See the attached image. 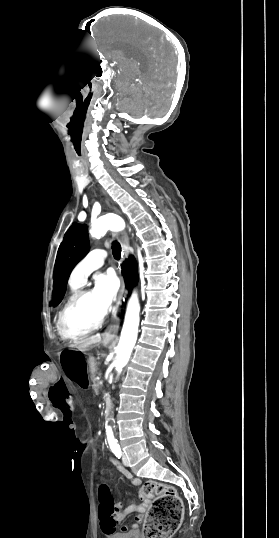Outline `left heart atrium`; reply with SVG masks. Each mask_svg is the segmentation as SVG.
<instances>
[{
    "label": "left heart atrium",
    "mask_w": 279,
    "mask_h": 538,
    "mask_svg": "<svg viewBox=\"0 0 279 538\" xmlns=\"http://www.w3.org/2000/svg\"><path fill=\"white\" fill-rule=\"evenodd\" d=\"M119 289V279L113 270L97 275L93 292L99 299L104 313L107 312Z\"/></svg>",
    "instance_id": "39dd6f15"
}]
</instances>
